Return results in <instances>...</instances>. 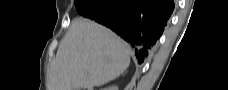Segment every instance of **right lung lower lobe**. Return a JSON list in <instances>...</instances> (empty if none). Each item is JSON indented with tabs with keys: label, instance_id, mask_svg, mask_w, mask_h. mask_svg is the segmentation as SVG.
Instances as JSON below:
<instances>
[{
	"label": "right lung lower lobe",
	"instance_id": "obj_1",
	"mask_svg": "<svg viewBox=\"0 0 228 90\" xmlns=\"http://www.w3.org/2000/svg\"><path fill=\"white\" fill-rule=\"evenodd\" d=\"M173 9L172 0H105L96 14L85 17L127 41L141 64L153 51Z\"/></svg>",
	"mask_w": 228,
	"mask_h": 90
}]
</instances>
